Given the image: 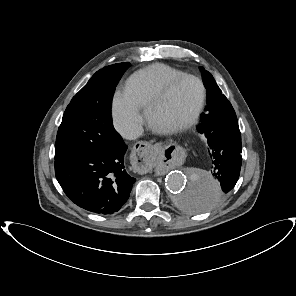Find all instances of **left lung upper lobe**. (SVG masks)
<instances>
[{
  "label": "left lung upper lobe",
  "mask_w": 296,
  "mask_h": 296,
  "mask_svg": "<svg viewBox=\"0 0 296 296\" xmlns=\"http://www.w3.org/2000/svg\"><path fill=\"white\" fill-rule=\"evenodd\" d=\"M202 71L203 83L207 89V106L205 112L208 111L218 100L224 98L225 96L221 93L220 88L215 82L213 76L210 72L206 71L203 67H200Z\"/></svg>",
  "instance_id": "obj_1"
}]
</instances>
